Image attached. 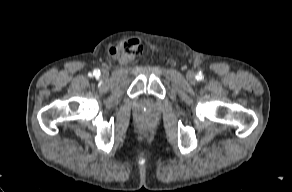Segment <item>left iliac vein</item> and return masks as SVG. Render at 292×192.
I'll list each match as a JSON object with an SVG mask.
<instances>
[{
    "mask_svg": "<svg viewBox=\"0 0 292 192\" xmlns=\"http://www.w3.org/2000/svg\"><path fill=\"white\" fill-rule=\"evenodd\" d=\"M187 77H188V79H189L190 81H194V80H195V75H194L193 72H189L188 75H187Z\"/></svg>",
    "mask_w": 292,
    "mask_h": 192,
    "instance_id": "1",
    "label": "left iliac vein"
}]
</instances>
